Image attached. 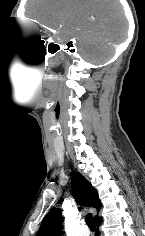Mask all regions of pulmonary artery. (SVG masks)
Returning a JSON list of instances; mask_svg holds the SVG:
<instances>
[{
    "label": "pulmonary artery",
    "mask_w": 145,
    "mask_h": 236,
    "mask_svg": "<svg viewBox=\"0 0 145 236\" xmlns=\"http://www.w3.org/2000/svg\"><path fill=\"white\" fill-rule=\"evenodd\" d=\"M78 234H79V236H89L90 235V231L84 223L80 225L79 230H78Z\"/></svg>",
    "instance_id": "1"
}]
</instances>
